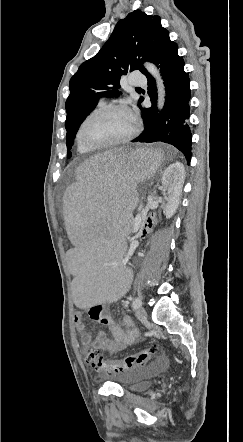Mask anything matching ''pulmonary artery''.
Listing matches in <instances>:
<instances>
[{"mask_svg": "<svg viewBox=\"0 0 243 442\" xmlns=\"http://www.w3.org/2000/svg\"><path fill=\"white\" fill-rule=\"evenodd\" d=\"M130 83L135 86H140V85H144L146 83V80L138 77L137 74H133L130 78Z\"/></svg>", "mask_w": 243, "mask_h": 442, "instance_id": "e3ab8cb5", "label": "pulmonary artery"}]
</instances>
